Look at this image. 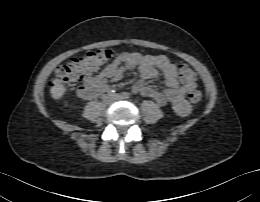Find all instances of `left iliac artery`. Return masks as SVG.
<instances>
[{
    "label": "left iliac artery",
    "mask_w": 260,
    "mask_h": 202,
    "mask_svg": "<svg viewBox=\"0 0 260 202\" xmlns=\"http://www.w3.org/2000/svg\"><path fill=\"white\" fill-rule=\"evenodd\" d=\"M123 97H124L125 99H128V98L130 97V95H129V93L124 92V93H123Z\"/></svg>",
    "instance_id": "44dca946"
}]
</instances>
